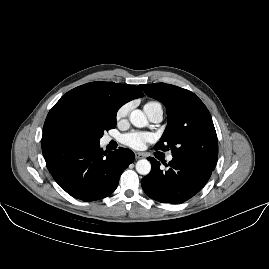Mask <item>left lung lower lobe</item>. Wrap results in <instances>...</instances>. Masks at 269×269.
<instances>
[{"label": "left lung lower lobe", "instance_id": "obj_1", "mask_svg": "<svg viewBox=\"0 0 269 269\" xmlns=\"http://www.w3.org/2000/svg\"><path fill=\"white\" fill-rule=\"evenodd\" d=\"M151 172L141 180L144 192L159 202L178 204L198 193L209 180L214 169L197 165L186 159L174 157L167 169L152 157Z\"/></svg>", "mask_w": 269, "mask_h": 269}]
</instances>
